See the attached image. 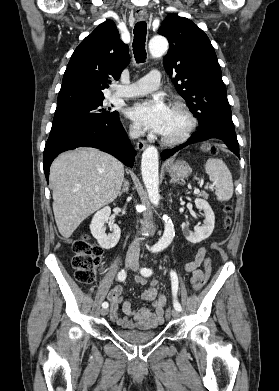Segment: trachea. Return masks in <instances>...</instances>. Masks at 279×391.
Segmentation results:
<instances>
[{
    "label": "trachea",
    "mask_w": 279,
    "mask_h": 391,
    "mask_svg": "<svg viewBox=\"0 0 279 391\" xmlns=\"http://www.w3.org/2000/svg\"><path fill=\"white\" fill-rule=\"evenodd\" d=\"M134 39L132 43L133 52L135 60L137 63H142L146 59V34H147V24L145 21H140L135 24L134 30Z\"/></svg>",
    "instance_id": "3493384b"
}]
</instances>
